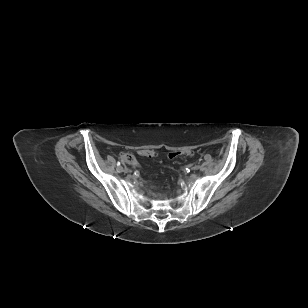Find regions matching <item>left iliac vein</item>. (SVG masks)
<instances>
[{
    "label": "left iliac vein",
    "instance_id": "1",
    "mask_svg": "<svg viewBox=\"0 0 308 308\" xmlns=\"http://www.w3.org/2000/svg\"><path fill=\"white\" fill-rule=\"evenodd\" d=\"M193 170H198L199 169V165H195L192 167Z\"/></svg>",
    "mask_w": 308,
    "mask_h": 308
}]
</instances>
